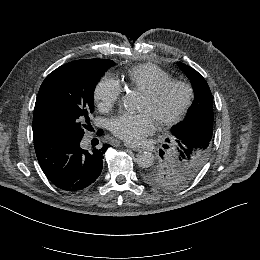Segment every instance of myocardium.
I'll list each match as a JSON object with an SVG mask.
<instances>
[{"label":"myocardium","mask_w":260,"mask_h":260,"mask_svg":"<svg viewBox=\"0 0 260 260\" xmlns=\"http://www.w3.org/2000/svg\"><path fill=\"white\" fill-rule=\"evenodd\" d=\"M173 87H180L186 92V100L182 107L169 118L156 124L158 129L169 128L178 122H180L184 116L189 112L190 108L193 105L195 98L194 88L187 82L179 79H171L165 82L160 83L153 89L143 92V95L147 98L150 103H154L161 99L169 89Z\"/></svg>","instance_id":"obj_1"}]
</instances>
